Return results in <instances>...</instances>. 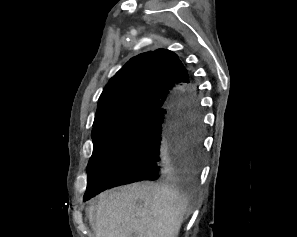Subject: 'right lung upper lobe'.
Wrapping results in <instances>:
<instances>
[{
  "label": "right lung upper lobe",
  "mask_w": 297,
  "mask_h": 237,
  "mask_svg": "<svg viewBox=\"0 0 297 237\" xmlns=\"http://www.w3.org/2000/svg\"><path fill=\"white\" fill-rule=\"evenodd\" d=\"M190 83L187 70L172 51L158 49L135 56L104 88L93 127L125 115L152 114L168 104L174 90Z\"/></svg>",
  "instance_id": "right-lung-upper-lobe-1"
}]
</instances>
